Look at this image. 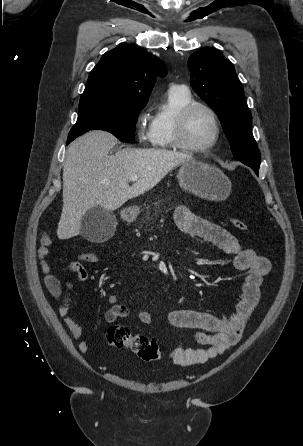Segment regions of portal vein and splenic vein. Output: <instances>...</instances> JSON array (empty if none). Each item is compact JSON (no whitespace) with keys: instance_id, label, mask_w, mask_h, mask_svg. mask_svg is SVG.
Listing matches in <instances>:
<instances>
[{"instance_id":"18ae733b","label":"portal vein and splenic vein","mask_w":303,"mask_h":446,"mask_svg":"<svg viewBox=\"0 0 303 446\" xmlns=\"http://www.w3.org/2000/svg\"><path fill=\"white\" fill-rule=\"evenodd\" d=\"M130 180H131V181H137V180H138V176H137V175H132V176L130 177Z\"/></svg>"}]
</instances>
